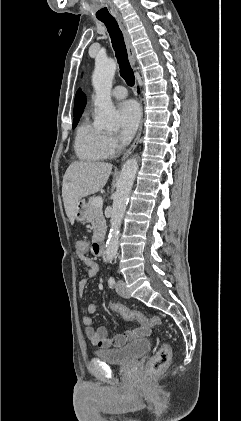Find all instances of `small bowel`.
I'll use <instances>...</instances> for the list:
<instances>
[{
  "instance_id": "c3829d8e",
  "label": "small bowel",
  "mask_w": 241,
  "mask_h": 421,
  "mask_svg": "<svg viewBox=\"0 0 241 421\" xmlns=\"http://www.w3.org/2000/svg\"><path fill=\"white\" fill-rule=\"evenodd\" d=\"M78 257L85 265L88 276H95L98 272V264L87 255H78ZM86 288L87 280L81 279L77 285L79 295H83ZM96 309L97 307L94 303H89L84 308L82 315V323L85 327L86 335L96 347L103 349L121 347L129 341L148 335L150 332V326L141 324L132 330L110 337L108 329L105 326H93L92 315L96 312Z\"/></svg>"
}]
</instances>
